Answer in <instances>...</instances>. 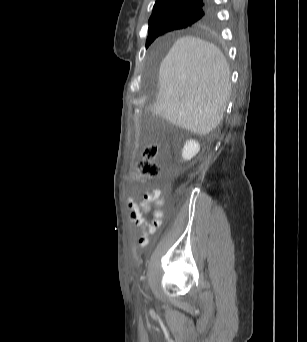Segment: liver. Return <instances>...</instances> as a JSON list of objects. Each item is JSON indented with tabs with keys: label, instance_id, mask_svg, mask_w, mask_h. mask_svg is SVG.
<instances>
[{
	"label": "liver",
	"instance_id": "obj_1",
	"mask_svg": "<svg viewBox=\"0 0 307 342\" xmlns=\"http://www.w3.org/2000/svg\"><path fill=\"white\" fill-rule=\"evenodd\" d=\"M156 116L206 136L223 120L230 96L229 66L219 48L200 38H178L159 70Z\"/></svg>",
	"mask_w": 307,
	"mask_h": 342
}]
</instances>
